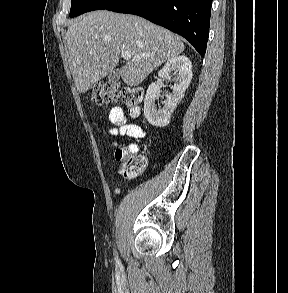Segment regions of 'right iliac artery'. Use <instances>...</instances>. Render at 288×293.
<instances>
[{"instance_id":"1","label":"right iliac artery","mask_w":288,"mask_h":293,"mask_svg":"<svg viewBox=\"0 0 288 293\" xmlns=\"http://www.w3.org/2000/svg\"><path fill=\"white\" fill-rule=\"evenodd\" d=\"M116 262L119 263L118 259H116Z\"/></svg>"}]
</instances>
